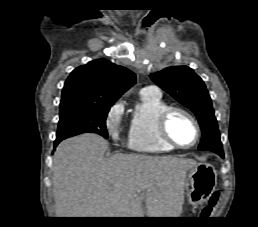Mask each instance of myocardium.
Instances as JSON below:
<instances>
[{
	"label": "myocardium",
	"instance_id": "f54148a6",
	"mask_svg": "<svg viewBox=\"0 0 258 227\" xmlns=\"http://www.w3.org/2000/svg\"><path fill=\"white\" fill-rule=\"evenodd\" d=\"M175 113L183 114L194 125L195 131H196V137H195V140L190 145L184 146L177 143L169 132L168 122L171 116ZM157 128H158V134L161 140L169 144L173 148H177V149H190L194 147L198 143L201 135V128L197 119L189 111L176 106H169L160 113L157 120Z\"/></svg>",
	"mask_w": 258,
	"mask_h": 227
}]
</instances>
